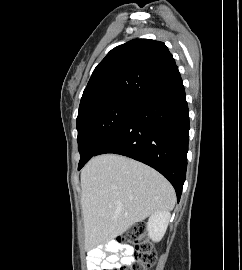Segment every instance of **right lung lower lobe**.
I'll list each match as a JSON object with an SVG mask.
<instances>
[{
	"label": "right lung lower lobe",
	"instance_id": "obj_1",
	"mask_svg": "<svg viewBox=\"0 0 242 270\" xmlns=\"http://www.w3.org/2000/svg\"><path fill=\"white\" fill-rule=\"evenodd\" d=\"M189 110L181 76L139 100L93 156L116 153L165 176L180 200L186 178ZM87 161L79 163L80 170Z\"/></svg>",
	"mask_w": 242,
	"mask_h": 270
}]
</instances>
